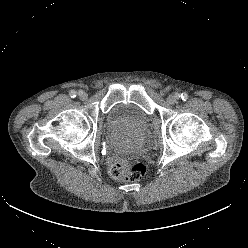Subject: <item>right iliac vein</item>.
Segmentation results:
<instances>
[{"instance_id":"1","label":"right iliac vein","mask_w":248,"mask_h":248,"mask_svg":"<svg viewBox=\"0 0 248 248\" xmlns=\"http://www.w3.org/2000/svg\"><path fill=\"white\" fill-rule=\"evenodd\" d=\"M79 97L81 98V99H86L87 98V94L85 93V92H83V91H79Z\"/></svg>"}]
</instances>
